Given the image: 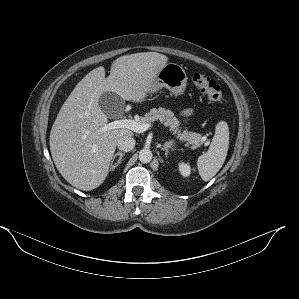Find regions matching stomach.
<instances>
[{
	"label": "stomach",
	"mask_w": 299,
	"mask_h": 299,
	"mask_svg": "<svg viewBox=\"0 0 299 299\" xmlns=\"http://www.w3.org/2000/svg\"><path fill=\"white\" fill-rule=\"evenodd\" d=\"M187 79L186 71L181 65L167 63L157 73L148 94L156 93L159 89L165 87L176 97L181 96L185 93Z\"/></svg>",
	"instance_id": "obj_1"
}]
</instances>
